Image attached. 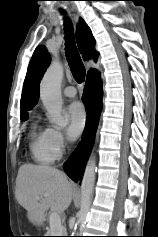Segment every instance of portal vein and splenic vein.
I'll list each match as a JSON object with an SVG mask.
<instances>
[{"label": "portal vein and splenic vein", "instance_id": "1", "mask_svg": "<svg viewBox=\"0 0 158 237\" xmlns=\"http://www.w3.org/2000/svg\"><path fill=\"white\" fill-rule=\"evenodd\" d=\"M50 226L53 229H56L61 226V219L58 213H52L49 218Z\"/></svg>", "mask_w": 158, "mask_h": 237}]
</instances>
